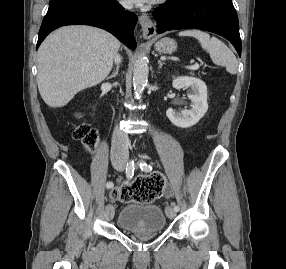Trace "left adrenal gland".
Returning <instances> with one entry per match:
<instances>
[{
  "label": "left adrenal gland",
  "mask_w": 286,
  "mask_h": 269,
  "mask_svg": "<svg viewBox=\"0 0 286 269\" xmlns=\"http://www.w3.org/2000/svg\"><path fill=\"white\" fill-rule=\"evenodd\" d=\"M158 65H159L158 68L161 69L162 65H163V62L161 60H158Z\"/></svg>",
  "instance_id": "left-adrenal-gland-1"
}]
</instances>
